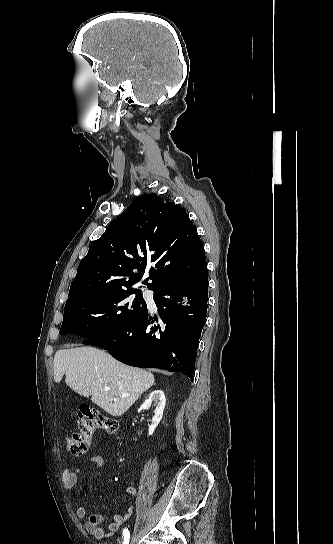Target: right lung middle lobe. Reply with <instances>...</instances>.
<instances>
[{
	"label": "right lung middle lobe",
	"instance_id": "right-lung-middle-lobe-1",
	"mask_svg": "<svg viewBox=\"0 0 333 544\" xmlns=\"http://www.w3.org/2000/svg\"><path fill=\"white\" fill-rule=\"evenodd\" d=\"M136 294L135 298L130 297ZM147 310L141 290H116L68 301L60 334L91 338L122 329Z\"/></svg>",
	"mask_w": 333,
	"mask_h": 544
}]
</instances>
